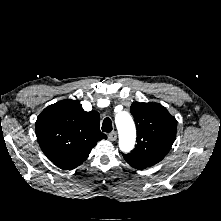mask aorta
<instances>
[{"label":"aorta","instance_id":"aorta-1","mask_svg":"<svg viewBox=\"0 0 221 221\" xmlns=\"http://www.w3.org/2000/svg\"><path fill=\"white\" fill-rule=\"evenodd\" d=\"M115 123L119 134V147L123 152L133 149L136 140V129L131 115L126 111L115 115Z\"/></svg>","mask_w":221,"mask_h":221}]
</instances>
